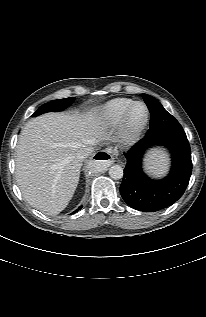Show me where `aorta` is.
I'll return each mask as SVG.
<instances>
[{"label": "aorta", "instance_id": "obj_1", "mask_svg": "<svg viewBox=\"0 0 206 317\" xmlns=\"http://www.w3.org/2000/svg\"><path fill=\"white\" fill-rule=\"evenodd\" d=\"M123 174V168L120 165L115 164L109 168V175L114 180L121 179Z\"/></svg>", "mask_w": 206, "mask_h": 317}]
</instances>
